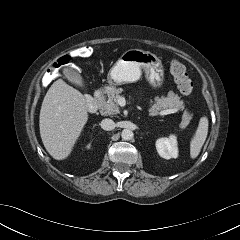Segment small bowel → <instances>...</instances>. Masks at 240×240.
I'll use <instances>...</instances> for the list:
<instances>
[{
  "mask_svg": "<svg viewBox=\"0 0 240 240\" xmlns=\"http://www.w3.org/2000/svg\"><path fill=\"white\" fill-rule=\"evenodd\" d=\"M53 73H54V68H50L49 70H47L46 77L48 79H51L53 76Z\"/></svg>",
  "mask_w": 240,
  "mask_h": 240,
  "instance_id": "1",
  "label": "small bowel"
}]
</instances>
